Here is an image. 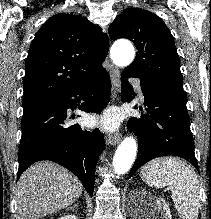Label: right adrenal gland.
Instances as JSON below:
<instances>
[{
  "instance_id": "2a0ac1e0",
  "label": "right adrenal gland",
  "mask_w": 211,
  "mask_h": 219,
  "mask_svg": "<svg viewBox=\"0 0 211 219\" xmlns=\"http://www.w3.org/2000/svg\"><path fill=\"white\" fill-rule=\"evenodd\" d=\"M76 207H77V205L74 204L73 206L68 207L67 210H74Z\"/></svg>"
}]
</instances>
